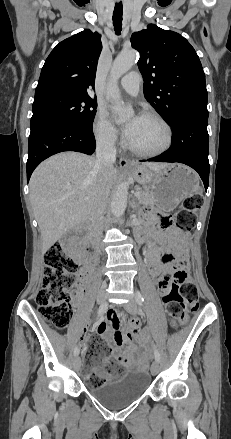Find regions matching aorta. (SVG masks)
I'll list each match as a JSON object with an SVG mask.
<instances>
[{
	"label": "aorta",
	"instance_id": "1",
	"mask_svg": "<svg viewBox=\"0 0 231 439\" xmlns=\"http://www.w3.org/2000/svg\"><path fill=\"white\" fill-rule=\"evenodd\" d=\"M137 61V52L129 50L117 56L114 60L111 71L110 81L108 84L107 95L110 99L113 110L117 113L121 120H125L133 115L131 107H124L118 88V79L129 71ZM128 185L121 183L113 195L111 201V212L114 217L118 218L124 214L127 206Z\"/></svg>",
	"mask_w": 231,
	"mask_h": 439
}]
</instances>
